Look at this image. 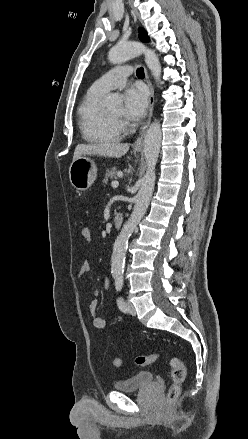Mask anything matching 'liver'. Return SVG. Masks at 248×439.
Here are the masks:
<instances>
[{"label":"liver","instance_id":"6515ba94","mask_svg":"<svg viewBox=\"0 0 248 439\" xmlns=\"http://www.w3.org/2000/svg\"><path fill=\"white\" fill-rule=\"evenodd\" d=\"M129 150V144L119 142H104L96 144H78L74 151L73 160L82 155H97L120 158Z\"/></svg>","mask_w":248,"mask_h":439}]
</instances>
